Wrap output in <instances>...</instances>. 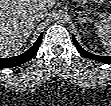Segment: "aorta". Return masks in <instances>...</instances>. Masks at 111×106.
<instances>
[{
	"label": "aorta",
	"mask_w": 111,
	"mask_h": 106,
	"mask_svg": "<svg viewBox=\"0 0 111 106\" xmlns=\"http://www.w3.org/2000/svg\"><path fill=\"white\" fill-rule=\"evenodd\" d=\"M57 15H58L57 17H58L59 21H64L66 18L65 14L63 12H59Z\"/></svg>",
	"instance_id": "762f6f07"
}]
</instances>
